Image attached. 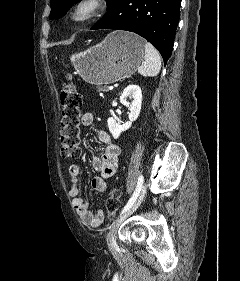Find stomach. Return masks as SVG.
<instances>
[{"mask_svg":"<svg viewBox=\"0 0 240 281\" xmlns=\"http://www.w3.org/2000/svg\"><path fill=\"white\" fill-rule=\"evenodd\" d=\"M144 44L138 35L115 31L101 43L72 55L70 59L86 82L110 84L135 73L145 54Z\"/></svg>","mask_w":240,"mask_h":281,"instance_id":"obj_1","label":"stomach"}]
</instances>
